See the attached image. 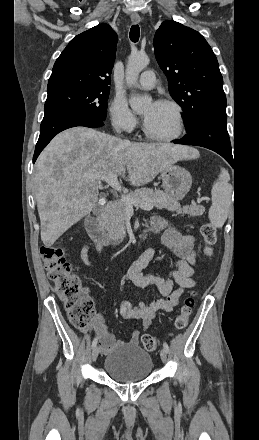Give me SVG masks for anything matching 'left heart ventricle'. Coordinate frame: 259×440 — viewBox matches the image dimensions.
<instances>
[{
	"label": "left heart ventricle",
	"mask_w": 259,
	"mask_h": 440,
	"mask_svg": "<svg viewBox=\"0 0 259 440\" xmlns=\"http://www.w3.org/2000/svg\"><path fill=\"white\" fill-rule=\"evenodd\" d=\"M151 104L144 107L142 113L146 114ZM149 131L158 136H169L176 130L175 111L171 106L159 104L145 120Z\"/></svg>",
	"instance_id": "obj_1"
}]
</instances>
